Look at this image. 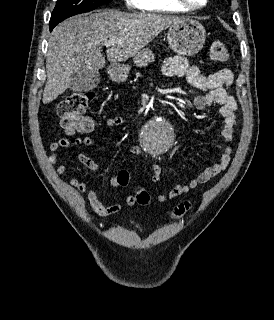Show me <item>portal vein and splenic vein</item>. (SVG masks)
<instances>
[{
	"instance_id": "portal-vein-and-splenic-vein-1",
	"label": "portal vein and splenic vein",
	"mask_w": 274,
	"mask_h": 320,
	"mask_svg": "<svg viewBox=\"0 0 274 320\" xmlns=\"http://www.w3.org/2000/svg\"><path fill=\"white\" fill-rule=\"evenodd\" d=\"M114 42H106V44H104V46H106V48H110V46H113Z\"/></svg>"
}]
</instances>
